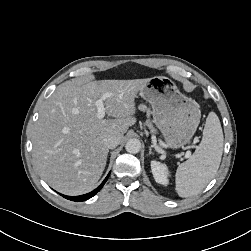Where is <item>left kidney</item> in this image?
Listing matches in <instances>:
<instances>
[{
    "label": "left kidney",
    "mask_w": 251,
    "mask_h": 251,
    "mask_svg": "<svg viewBox=\"0 0 251 251\" xmlns=\"http://www.w3.org/2000/svg\"><path fill=\"white\" fill-rule=\"evenodd\" d=\"M151 171L157 183L162 185L168 184V171L164 164L158 161H151Z\"/></svg>",
    "instance_id": "left-kidney-1"
}]
</instances>
